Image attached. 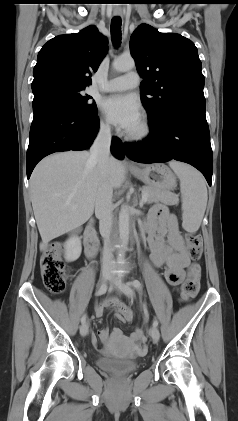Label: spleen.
<instances>
[{"mask_svg":"<svg viewBox=\"0 0 238 421\" xmlns=\"http://www.w3.org/2000/svg\"><path fill=\"white\" fill-rule=\"evenodd\" d=\"M169 166L180 180L182 199V226L189 233H195L202 222L207 206V188L202 175L192 166L170 161Z\"/></svg>","mask_w":238,"mask_h":421,"instance_id":"spleen-1","label":"spleen"}]
</instances>
